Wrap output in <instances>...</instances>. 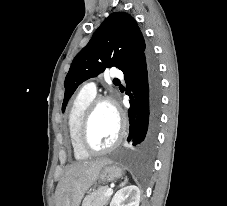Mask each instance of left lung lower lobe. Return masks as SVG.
Segmentation results:
<instances>
[{"label":"left lung lower lobe","mask_w":227,"mask_h":206,"mask_svg":"<svg viewBox=\"0 0 227 206\" xmlns=\"http://www.w3.org/2000/svg\"><path fill=\"white\" fill-rule=\"evenodd\" d=\"M129 96V149L147 153L157 140L160 119V79L157 65L148 49L127 72H124Z\"/></svg>","instance_id":"left-lung-lower-lobe-1"}]
</instances>
